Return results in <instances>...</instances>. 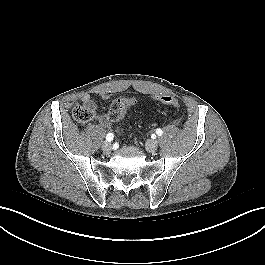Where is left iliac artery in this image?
<instances>
[{"instance_id": "44dca946", "label": "left iliac artery", "mask_w": 265, "mask_h": 265, "mask_svg": "<svg viewBox=\"0 0 265 265\" xmlns=\"http://www.w3.org/2000/svg\"><path fill=\"white\" fill-rule=\"evenodd\" d=\"M156 133H157L159 136H161V135L163 134V131H162L161 129H157V130H156Z\"/></svg>"}]
</instances>
